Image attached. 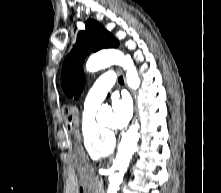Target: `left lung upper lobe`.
Segmentation results:
<instances>
[{"label":"left lung upper lobe","instance_id":"5c2ea615","mask_svg":"<svg viewBox=\"0 0 221 193\" xmlns=\"http://www.w3.org/2000/svg\"><path fill=\"white\" fill-rule=\"evenodd\" d=\"M118 45L119 42L102 25L92 19L87 20L86 31L78 33L76 44L63 64L61 81L65 93L76 99L80 96L85 84L83 60L87 54Z\"/></svg>","mask_w":221,"mask_h":193}]
</instances>
